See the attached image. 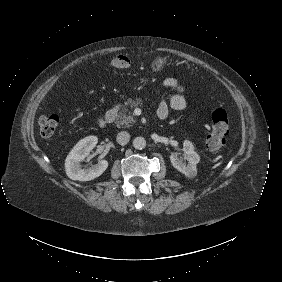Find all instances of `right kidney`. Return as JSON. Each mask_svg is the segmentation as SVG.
<instances>
[{
  "label": "right kidney",
  "instance_id": "right-kidney-1",
  "mask_svg": "<svg viewBox=\"0 0 282 282\" xmlns=\"http://www.w3.org/2000/svg\"><path fill=\"white\" fill-rule=\"evenodd\" d=\"M98 142L97 136H87L73 147L65 159V171L72 180L90 181L99 177L108 167L106 160H100L89 168L82 169L80 162L85 159Z\"/></svg>",
  "mask_w": 282,
  "mask_h": 282
}]
</instances>
